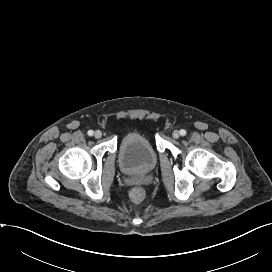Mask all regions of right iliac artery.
<instances>
[{"mask_svg":"<svg viewBox=\"0 0 272 272\" xmlns=\"http://www.w3.org/2000/svg\"><path fill=\"white\" fill-rule=\"evenodd\" d=\"M93 133H94V132H93L92 130H89V131H88V135H89V136H92Z\"/></svg>","mask_w":272,"mask_h":272,"instance_id":"right-iliac-artery-1","label":"right iliac artery"}]
</instances>
